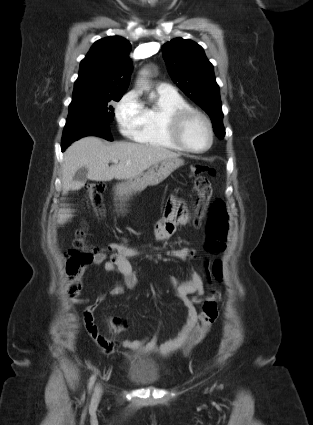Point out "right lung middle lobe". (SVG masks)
I'll return each instance as SVG.
<instances>
[{
  "mask_svg": "<svg viewBox=\"0 0 313 425\" xmlns=\"http://www.w3.org/2000/svg\"><path fill=\"white\" fill-rule=\"evenodd\" d=\"M124 93H112L104 95L82 96L72 99L69 105L68 124L78 115H88L101 119L103 122H110L114 117L112 101L118 102Z\"/></svg>",
  "mask_w": 313,
  "mask_h": 425,
  "instance_id": "1",
  "label": "right lung middle lobe"
}]
</instances>
